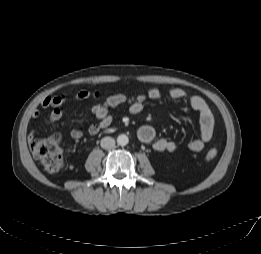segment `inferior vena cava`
<instances>
[{"label":"inferior vena cava","mask_w":261,"mask_h":254,"mask_svg":"<svg viewBox=\"0 0 261 254\" xmlns=\"http://www.w3.org/2000/svg\"><path fill=\"white\" fill-rule=\"evenodd\" d=\"M115 146V140L112 137L106 136L101 140V147L103 149H111Z\"/></svg>","instance_id":"602c4592"}]
</instances>
